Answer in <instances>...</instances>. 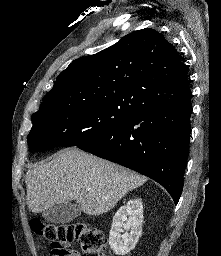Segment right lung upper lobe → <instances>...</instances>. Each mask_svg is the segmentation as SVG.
<instances>
[{
	"instance_id": "right-lung-upper-lobe-1",
	"label": "right lung upper lobe",
	"mask_w": 221,
	"mask_h": 256,
	"mask_svg": "<svg viewBox=\"0 0 221 256\" xmlns=\"http://www.w3.org/2000/svg\"><path fill=\"white\" fill-rule=\"evenodd\" d=\"M189 98L180 55L161 33L145 28L70 63L32 116L82 104L115 105L137 115Z\"/></svg>"
}]
</instances>
